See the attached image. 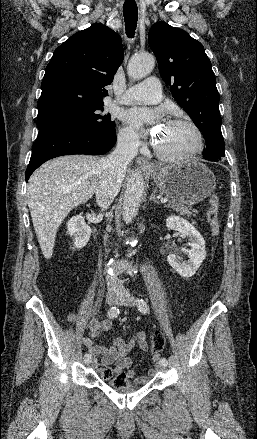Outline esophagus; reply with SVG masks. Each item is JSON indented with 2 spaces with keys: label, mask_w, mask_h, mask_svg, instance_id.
Instances as JSON below:
<instances>
[{
  "label": "esophagus",
  "mask_w": 257,
  "mask_h": 439,
  "mask_svg": "<svg viewBox=\"0 0 257 439\" xmlns=\"http://www.w3.org/2000/svg\"><path fill=\"white\" fill-rule=\"evenodd\" d=\"M137 163L139 166H141L144 170H154V165L151 164L146 158L144 157H138Z\"/></svg>",
  "instance_id": "obj_1"
}]
</instances>
